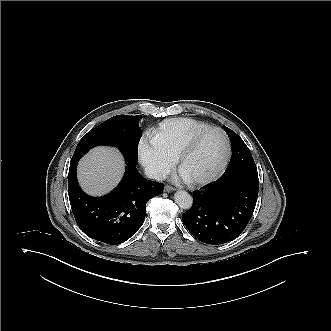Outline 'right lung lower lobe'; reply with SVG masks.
<instances>
[{
	"mask_svg": "<svg viewBox=\"0 0 331 331\" xmlns=\"http://www.w3.org/2000/svg\"><path fill=\"white\" fill-rule=\"evenodd\" d=\"M80 158L71 159L68 194L80 229L89 237L106 244H120L140 228L145 219L146 203L163 192L164 185L145 180L126 162L125 175L118 187L102 197L86 195L77 182L76 167Z\"/></svg>",
	"mask_w": 331,
	"mask_h": 331,
	"instance_id": "obj_1",
	"label": "right lung lower lobe"
}]
</instances>
